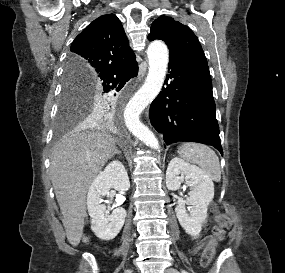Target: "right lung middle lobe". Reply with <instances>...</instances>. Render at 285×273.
Listing matches in <instances>:
<instances>
[{
  "mask_svg": "<svg viewBox=\"0 0 285 273\" xmlns=\"http://www.w3.org/2000/svg\"><path fill=\"white\" fill-rule=\"evenodd\" d=\"M115 96L108 94L107 98L103 97V93L91 87L88 80L69 73L66 65L57 118L58 128L64 129L90 114L101 113L104 104L114 105Z\"/></svg>",
  "mask_w": 285,
  "mask_h": 273,
  "instance_id": "1",
  "label": "right lung middle lobe"
}]
</instances>
